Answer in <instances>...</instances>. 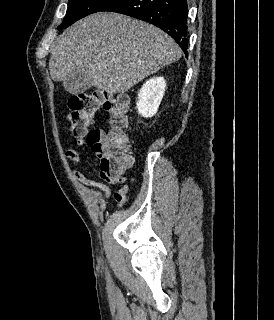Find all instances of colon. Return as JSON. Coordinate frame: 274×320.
I'll list each match as a JSON object with an SVG mask.
<instances>
[{"label":"colon","instance_id":"1","mask_svg":"<svg viewBox=\"0 0 274 320\" xmlns=\"http://www.w3.org/2000/svg\"><path fill=\"white\" fill-rule=\"evenodd\" d=\"M127 98L123 95L108 97L101 90L78 94L67 100L68 133L84 134L91 138L93 151L102 153L100 168L111 178L123 183L115 196H127L128 187L121 174L132 162V156L126 151L129 137L126 126L129 116L126 114ZM102 108L107 112L111 130L94 131L91 120H96L97 111Z\"/></svg>","mask_w":274,"mask_h":320}]
</instances>
